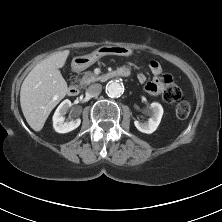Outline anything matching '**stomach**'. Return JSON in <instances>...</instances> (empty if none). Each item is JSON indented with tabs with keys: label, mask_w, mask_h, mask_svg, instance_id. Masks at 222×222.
<instances>
[{
	"label": "stomach",
	"mask_w": 222,
	"mask_h": 222,
	"mask_svg": "<svg viewBox=\"0 0 222 222\" xmlns=\"http://www.w3.org/2000/svg\"><path fill=\"white\" fill-rule=\"evenodd\" d=\"M131 54L132 50L125 46H103L93 54L74 57L71 66L72 69L75 71H82L91 66L92 64H94L98 60V58L102 56L105 55L129 56Z\"/></svg>",
	"instance_id": "0dacf381"
}]
</instances>
